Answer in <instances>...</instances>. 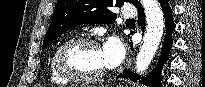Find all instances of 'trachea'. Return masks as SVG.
Returning a JSON list of instances; mask_svg holds the SVG:
<instances>
[{
  "instance_id": "trachea-1",
  "label": "trachea",
  "mask_w": 205,
  "mask_h": 87,
  "mask_svg": "<svg viewBox=\"0 0 205 87\" xmlns=\"http://www.w3.org/2000/svg\"><path fill=\"white\" fill-rule=\"evenodd\" d=\"M127 22H135L134 19L127 20Z\"/></svg>"
}]
</instances>
